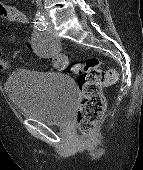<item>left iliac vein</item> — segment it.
Returning a JSON list of instances; mask_svg holds the SVG:
<instances>
[{"label":"left iliac vein","mask_w":143,"mask_h":170,"mask_svg":"<svg viewBox=\"0 0 143 170\" xmlns=\"http://www.w3.org/2000/svg\"><path fill=\"white\" fill-rule=\"evenodd\" d=\"M45 17H46L47 22H48L49 24H51V19H50V17H49L48 15H45Z\"/></svg>","instance_id":"1"}]
</instances>
